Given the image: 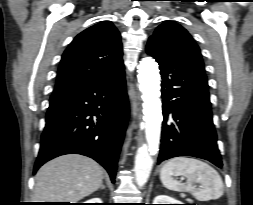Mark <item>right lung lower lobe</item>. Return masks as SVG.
<instances>
[{"label": "right lung lower lobe", "mask_w": 253, "mask_h": 205, "mask_svg": "<svg viewBox=\"0 0 253 205\" xmlns=\"http://www.w3.org/2000/svg\"><path fill=\"white\" fill-rule=\"evenodd\" d=\"M128 115L124 67L100 80L54 91L34 173L57 156L77 153L100 163L115 182Z\"/></svg>", "instance_id": "1"}]
</instances>
